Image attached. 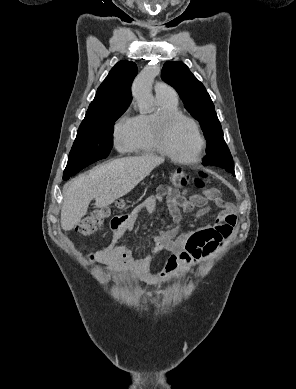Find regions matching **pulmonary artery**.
<instances>
[{
  "instance_id": "e3ab8cb5",
  "label": "pulmonary artery",
  "mask_w": 296,
  "mask_h": 389,
  "mask_svg": "<svg viewBox=\"0 0 296 389\" xmlns=\"http://www.w3.org/2000/svg\"><path fill=\"white\" fill-rule=\"evenodd\" d=\"M156 95H168L177 97L175 90L166 83L159 82L155 85Z\"/></svg>"
}]
</instances>
